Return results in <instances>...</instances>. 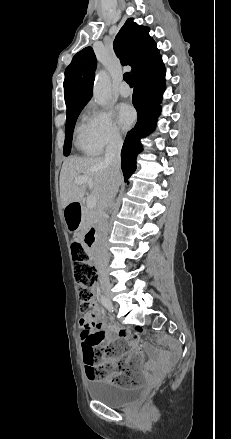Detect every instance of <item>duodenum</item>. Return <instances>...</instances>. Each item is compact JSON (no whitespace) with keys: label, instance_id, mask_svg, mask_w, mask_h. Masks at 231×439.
Returning a JSON list of instances; mask_svg holds the SVG:
<instances>
[{"label":"duodenum","instance_id":"duodenum-1","mask_svg":"<svg viewBox=\"0 0 231 439\" xmlns=\"http://www.w3.org/2000/svg\"><path fill=\"white\" fill-rule=\"evenodd\" d=\"M81 201H77L74 203H71L67 206V210L69 211L70 215H76L81 207ZM96 231L95 229H90L85 233L84 236V244L90 248L94 246Z\"/></svg>","mask_w":231,"mask_h":439}]
</instances>
